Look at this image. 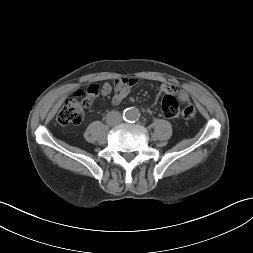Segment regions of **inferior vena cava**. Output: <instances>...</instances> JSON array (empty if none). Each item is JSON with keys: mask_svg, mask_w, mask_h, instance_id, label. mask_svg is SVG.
Here are the masks:
<instances>
[{"mask_svg": "<svg viewBox=\"0 0 253 253\" xmlns=\"http://www.w3.org/2000/svg\"><path fill=\"white\" fill-rule=\"evenodd\" d=\"M107 124L111 126L118 125L122 122V116L118 111H111L106 116Z\"/></svg>", "mask_w": 253, "mask_h": 253, "instance_id": "inferior-vena-cava-1", "label": "inferior vena cava"}]
</instances>
